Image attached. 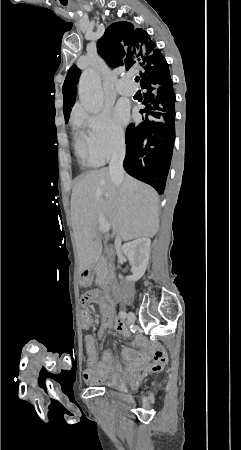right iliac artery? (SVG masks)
I'll list each match as a JSON object with an SVG mask.
<instances>
[{"instance_id":"1","label":"right iliac artery","mask_w":241,"mask_h":450,"mask_svg":"<svg viewBox=\"0 0 241 450\" xmlns=\"http://www.w3.org/2000/svg\"><path fill=\"white\" fill-rule=\"evenodd\" d=\"M119 315H120V317L123 318V319H125V318L127 317V314H126V312H124V311H121V312L119 313Z\"/></svg>"}]
</instances>
